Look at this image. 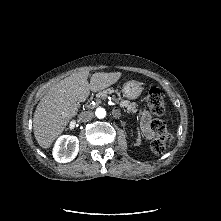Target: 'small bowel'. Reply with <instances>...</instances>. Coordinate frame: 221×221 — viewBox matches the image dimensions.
<instances>
[{
  "instance_id": "1",
  "label": "small bowel",
  "mask_w": 221,
  "mask_h": 221,
  "mask_svg": "<svg viewBox=\"0 0 221 221\" xmlns=\"http://www.w3.org/2000/svg\"><path fill=\"white\" fill-rule=\"evenodd\" d=\"M150 122H151V116L147 111H143L141 114V129L143 132V135L146 139H150L153 137V132L150 129Z\"/></svg>"
}]
</instances>
